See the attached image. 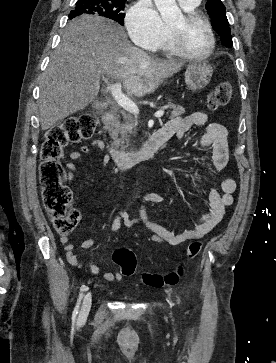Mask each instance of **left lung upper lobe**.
Masks as SVG:
<instances>
[{
    "mask_svg": "<svg viewBox=\"0 0 276 363\" xmlns=\"http://www.w3.org/2000/svg\"><path fill=\"white\" fill-rule=\"evenodd\" d=\"M206 9L212 19V27L221 36L223 45L232 47L233 43L229 22L226 17L225 6L222 4L221 0L208 1Z\"/></svg>",
    "mask_w": 276,
    "mask_h": 363,
    "instance_id": "left-lung-upper-lobe-1",
    "label": "left lung upper lobe"
}]
</instances>
